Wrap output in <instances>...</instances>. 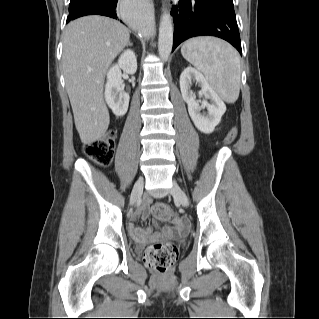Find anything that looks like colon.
<instances>
[{
	"mask_svg": "<svg viewBox=\"0 0 319 319\" xmlns=\"http://www.w3.org/2000/svg\"><path fill=\"white\" fill-rule=\"evenodd\" d=\"M237 136V129L231 128L224 139V144H231ZM115 148V133L107 132L95 142L85 144L84 153L100 165L109 164ZM153 216L161 221L172 220L175 213L167 204H155L152 208ZM178 257V247L170 242L154 243L144 252V263L164 276Z\"/></svg>",
	"mask_w": 319,
	"mask_h": 319,
	"instance_id": "1",
	"label": "colon"
}]
</instances>
